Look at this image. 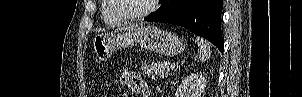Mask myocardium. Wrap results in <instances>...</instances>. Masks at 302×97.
I'll list each match as a JSON object with an SVG mask.
<instances>
[{"label": "myocardium", "mask_w": 302, "mask_h": 97, "mask_svg": "<svg viewBox=\"0 0 302 97\" xmlns=\"http://www.w3.org/2000/svg\"><path fill=\"white\" fill-rule=\"evenodd\" d=\"M113 13L124 21H136L149 16L156 8L157 0H150L149 6L137 14H125L118 8L116 0H109Z\"/></svg>", "instance_id": "myocardium-1"}]
</instances>
